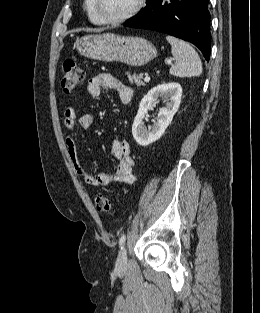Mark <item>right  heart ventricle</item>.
Segmentation results:
<instances>
[{
    "instance_id": "obj_1",
    "label": "right heart ventricle",
    "mask_w": 260,
    "mask_h": 313,
    "mask_svg": "<svg viewBox=\"0 0 260 313\" xmlns=\"http://www.w3.org/2000/svg\"><path fill=\"white\" fill-rule=\"evenodd\" d=\"M83 5H84V9L86 11V14H87L89 20L93 24H96V25L103 24L93 9V1L92 0H84Z\"/></svg>"
}]
</instances>
